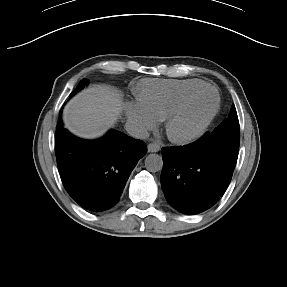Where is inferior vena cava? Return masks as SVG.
I'll list each match as a JSON object with an SVG mask.
<instances>
[{
    "label": "inferior vena cava",
    "instance_id": "1",
    "mask_svg": "<svg viewBox=\"0 0 287 287\" xmlns=\"http://www.w3.org/2000/svg\"><path fill=\"white\" fill-rule=\"evenodd\" d=\"M127 134L136 139H146L149 137L147 129L136 121H127L125 124Z\"/></svg>",
    "mask_w": 287,
    "mask_h": 287
}]
</instances>
